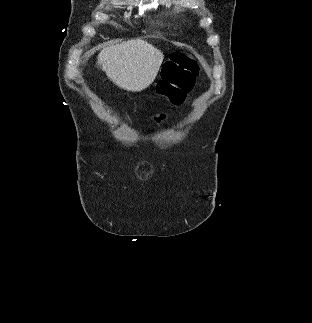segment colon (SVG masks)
<instances>
[{"label":"colon","mask_w":312,"mask_h":323,"mask_svg":"<svg viewBox=\"0 0 312 323\" xmlns=\"http://www.w3.org/2000/svg\"><path fill=\"white\" fill-rule=\"evenodd\" d=\"M199 73V66L191 57L175 52L165 67V78L159 79V94L169 98L173 106H180L186 94L192 90L193 82Z\"/></svg>","instance_id":"obj_1"}]
</instances>
